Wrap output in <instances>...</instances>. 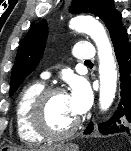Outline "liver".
I'll list each match as a JSON object with an SVG mask.
<instances>
[{
  "mask_svg": "<svg viewBox=\"0 0 131 151\" xmlns=\"http://www.w3.org/2000/svg\"><path fill=\"white\" fill-rule=\"evenodd\" d=\"M55 148H40L39 151H51L54 150Z\"/></svg>",
  "mask_w": 131,
  "mask_h": 151,
  "instance_id": "1",
  "label": "liver"
}]
</instances>
